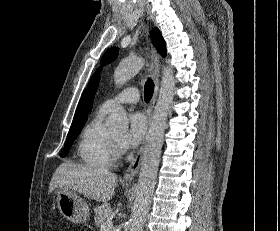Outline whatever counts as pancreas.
I'll return each mask as SVG.
<instances>
[{"label":"pancreas","instance_id":"pancreas-1","mask_svg":"<svg viewBox=\"0 0 280 231\" xmlns=\"http://www.w3.org/2000/svg\"><path fill=\"white\" fill-rule=\"evenodd\" d=\"M94 211L95 225H101V223H105L106 219H109L110 215H113V209L110 203H102V205H97Z\"/></svg>","mask_w":280,"mask_h":231}]
</instances>
